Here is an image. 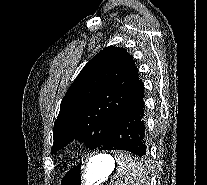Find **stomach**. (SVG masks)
Segmentation results:
<instances>
[{
  "instance_id": "0dacf381",
  "label": "stomach",
  "mask_w": 207,
  "mask_h": 185,
  "mask_svg": "<svg viewBox=\"0 0 207 185\" xmlns=\"http://www.w3.org/2000/svg\"><path fill=\"white\" fill-rule=\"evenodd\" d=\"M114 167L115 160L112 156L99 154L66 171L59 185H100L107 180Z\"/></svg>"
}]
</instances>
